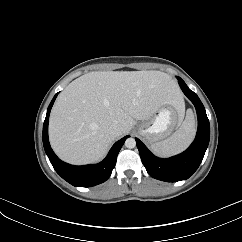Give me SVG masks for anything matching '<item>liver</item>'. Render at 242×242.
Segmentation results:
<instances>
[{"label":"liver","instance_id":"6515ba94","mask_svg":"<svg viewBox=\"0 0 242 242\" xmlns=\"http://www.w3.org/2000/svg\"><path fill=\"white\" fill-rule=\"evenodd\" d=\"M184 112L176 82L161 71H95L72 81L50 115L49 139L55 153L71 164L101 160L116 138L136 120L150 119L162 106ZM120 135L109 132L112 124Z\"/></svg>","mask_w":242,"mask_h":242}]
</instances>
